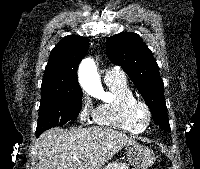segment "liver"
<instances>
[{
	"mask_svg": "<svg viewBox=\"0 0 200 169\" xmlns=\"http://www.w3.org/2000/svg\"><path fill=\"white\" fill-rule=\"evenodd\" d=\"M134 138L110 128H52L37 140V169H102Z\"/></svg>",
	"mask_w": 200,
	"mask_h": 169,
	"instance_id": "liver-1",
	"label": "liver"
}]
</instances>
